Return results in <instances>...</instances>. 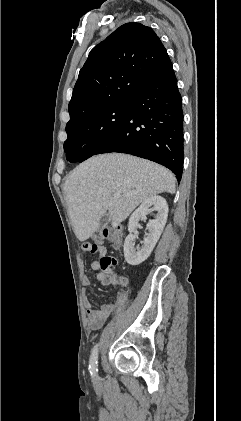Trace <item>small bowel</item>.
I'll list each match as a JSON object with an SVG mask.
<instances>
[{
    "label": "small bowel",
    "mask_w": 241,
    "mask_h": 421,
    "mask_svg": "<svg viewBox=\"0 0 241 421\" xmlns=\"http://www.w3.org/2000/svg\"><path fill=\"white\" fill-rule=\"evenodd\" d=\"M97 255L100 258L107 256V250L104 246H98L97 251L93 254ZM90 267L93 270H98L100 268V261L97 259H93L90 263ZM97 279L99 282L105 285H116L118 284V280H111L108 279L102 272L97 275ZM82 294L81 300L83 305L87 308L86 311V319L91 330H98L100 329L108 317L113 312L116 303H107L103 304L99 309H95L92 307L88 295H87V288L91 285V278L89 276H85L82 280ZM122 298V293H118L116 302L120 301Z\"/></svg>",
    "instance_id": "c3829d8e"
}]
</instances>
